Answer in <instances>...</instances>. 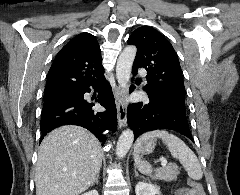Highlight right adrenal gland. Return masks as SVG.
Here are the masks:
<instances>
[{
  "instance_id": "2a0ac1e0",
  "label": "right adrenal gland",
  "mask_w": 240,
  "mask_h": 195,
  "mask_svg": "<svg viewBox=\"0 0 240 195\" xmlns=\"http://www.w3.org/2000/svg\"><path fill=\"white\" fill-rule=\"evenodd\" d=\"M99 175H100V171H98V173H96V177H95L94 181H92L91 185H94V183H99V181H98Z\"/></svg>"
}]
</instances>
